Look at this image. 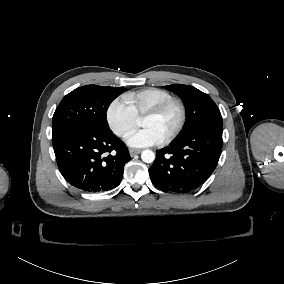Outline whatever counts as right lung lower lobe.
<instances>
[{"mask_svg":"<svg viewBox=\"0 0 284 284\" xmlns=\"http://www.w3.org/2000/svg\"><path fill=\"white\" fill-rule=\"evenodd\" d=\"M52 142L61 174L83 192L117 187L131 160L126 145L110 129L73 127L52 137Z\"/></svg>","mask_w":284,"mask_h":284,"instance_id":"obj_1","label":"right lung lower lobe"}]
</instances>
